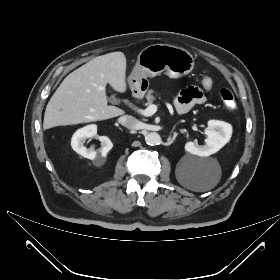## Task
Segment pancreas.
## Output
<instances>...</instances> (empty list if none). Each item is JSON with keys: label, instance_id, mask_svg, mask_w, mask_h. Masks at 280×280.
Returning a JSON list of instances; mask_svg holds the SVG:
<instances>
[{"label": "pancreas", "instance_id": "obj_1", "mask_svg": "<svg viewBox=\"0 0 280 280\" xmlns=\"http://www.w3.org/2000/svg\"><path fill=\"white\" fill-rule=\"evenodd\" d=\"M147 104L151 105L153 101L156 99L154 96V90H149L146 94Z\"/></svg>", "mask_w": 280, "mask_h": 280}]
</instances>
